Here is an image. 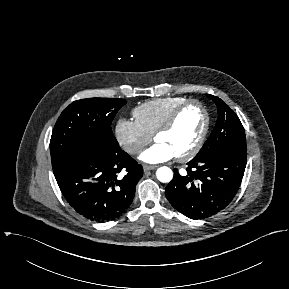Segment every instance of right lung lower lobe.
I'll return each instance as SVG.
<instances>
[{
	"instance_id": "1",
	"label": "right lung lower lobe",
	"mask_w": 289,
	"mask_h": 289,
	"mask_svg": "<svg viewBox=\"0 0 289 289\" xmlns=\"http://www.w3.org/2000/svg\"><path fill=\"white\" fill-rule=\"evenodd\" d=\"M122 169L127 174L119 179ZM54 175L64 198L76 212L87 219L106 222L130 206L143 168L121 149L91 146L68 158Z\"/></svg>"
}]
</instances>
